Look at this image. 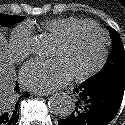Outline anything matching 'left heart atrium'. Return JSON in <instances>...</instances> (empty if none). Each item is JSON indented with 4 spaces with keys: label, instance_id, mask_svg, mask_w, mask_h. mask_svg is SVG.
Returning a JSON list of instances; mask_svg holds the SVG:
<instances>
[{
    "label": "left heart atrium",
    "instance_id": "39dd6f15",
    "mask_svg": "<svg viewBox=\"0 0 125 125\" xmlns=\"http://www.w3.org/2000/svg\"><path fill=\"white\" fill-rule=\"evenodd\" d=\"M73 77L61 58L35 59L20 72L22 84L35 92H49L64 86Z\"/></svg>",
    "mask_w": 125,
    "mask_h": 125
}]
</instances>
